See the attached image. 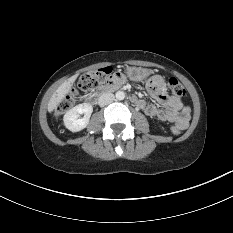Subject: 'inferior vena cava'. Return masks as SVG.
<instances>
[{
	"mask_svg": "<svg viewBox=\"0 0 233 233\" xmlns=\"http://www.w3.org/2000/svg\"><path fill=\"white\" fill-rule=\"evenodd\" d=\"M114 99H115L114 94H112V93H103L98 99V104H99V106L103 107V106L113 102Z\"/></svg>",
	"mask_w": 233,
	"mask_h": 233,
	"instance_id": "obj_1",
	"label": "inferior vena cava"
}]
</instances>
